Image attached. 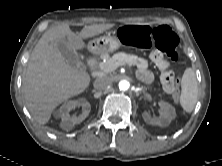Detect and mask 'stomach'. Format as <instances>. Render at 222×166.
<instances>
[{"label":"stomach","mask_w":222,"mask_h":166,"mask_svg":"<svg viewBox=\"0 0 222 166\" xmlns=\"http://www.w3.org/2000/svg\"><path fill=\"white\" fill-rule=\"evenodd\" d=\"M121 47V43L116 36L105 35L91 40L88 49L96 54L113 52Z\"/></svg>","instance_id":"1"}]
</instances>
